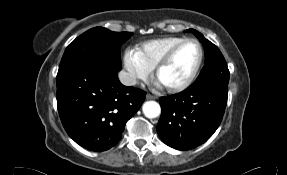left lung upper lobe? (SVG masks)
Listing matches in <instances>:
<instances>
[{"instance_id":"left-lung-upper-lobe-1","label":"left lung upper lobe","mask_w":287,"mask_h":175,"mask_svg":"<svg viewBox=\"0 0 287 175\" xmlns=\"http://www.w3.org/2000/svg\"><path fill=\"white\" fill-rule=\"evenodd\" d=\"M186 32H192L195 34L202 42L205 51V66L191 87H199L207 84H221L228 86L229 70L218 47L194 29H188Z\"/></svg>"}]
</instances>
